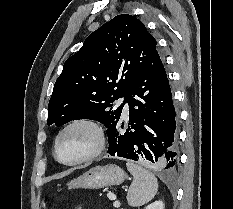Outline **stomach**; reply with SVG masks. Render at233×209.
Here are the masks:
<instances>
[{"label": "stomach", "mask_w": 233, "mask_h": 209, "mask_svg": "<svg viewBox=\"0 0 233 209\" xmlns=\"http://www.w3.org/2000/svg\"><path fill=\"white\" fill-rule=\"evenodd\" d=\"M126 179L125 172L118 166L109 164L95 166L83 175L68 183L70 188L101 189L106 186L120 185Z\"/></svg>", "instance_id": "0dacf381"}]
</instances>
